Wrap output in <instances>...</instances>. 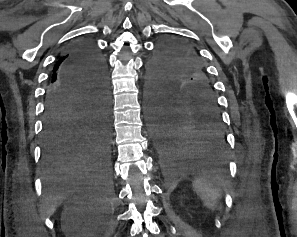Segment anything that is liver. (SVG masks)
Listing matches in <instances>:
<instances>
[{
	"instance_id": "6515ba94",
	"label": "liver",
	"mask_w": 297,
	"mask_h": 237,
	"mask_svg": "<svg viewBox=\"0 0 297 237\" xmlns=\"http://www.w3.org/2000/svg\"><path fill=\"white\" fill-rule=\"evenodd\" d=\"M93 182V180H90L89 177L87 176H72L66 179V188H65V192H72V191H77L79 189H81V185L83 184H87ZM64 197V193L58 195L57 197H55L54 199H51L48 201L49 204V215H52L57 206H58V202L60 200H62Z\"/></svg>"
}]
</instances>
